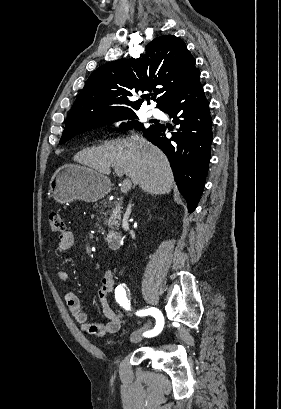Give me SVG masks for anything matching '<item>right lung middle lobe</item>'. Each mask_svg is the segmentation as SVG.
Masks as SVG:
<instances>
[{"label": "right lung middle lobe", "instance_id": "1", "mask_svg": "<svg viewBox=\"0 0 281 409\" xmlns=\"http://www.w3.org/2000/svg\"><path fill=\"white\" fill-rule=\"evenodd\" d=\"M137 118H138L137 115L133 111H128V112H123V113L108 117L106 119L97 121L87 126L65 128L59 144H63L66 141L70 140L75 135L80 134L81 132L90 130L92 128L111 124L113 122L120 121V120H126V119L133 120Z\"/></svg>", "mask_w": 281, "mask_h": 409}]
</instances>
